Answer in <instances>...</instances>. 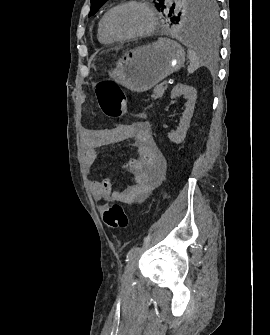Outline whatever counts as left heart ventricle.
I'll use <instances>...</instances> for the list:
<instances>
[{
    "label": "left heart ventricle",
    "instance_id": "1",
    "mask_svg": "<svg viewBox=\"0 0 270 335\" xmlns=\"http://www.w3.org/2000/svg\"><path fill=\"white\" fill-rule=\"evenodd\" d=\"M150 19L140 5L128 4L120 8L112 17L114 30L122 34H136L148 29ZM146 52H157L155 50Z\"/></svg>",
    "mask_w": 270,
    "mask_h": 335
}]
</instances>
